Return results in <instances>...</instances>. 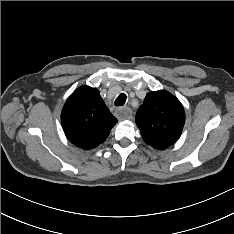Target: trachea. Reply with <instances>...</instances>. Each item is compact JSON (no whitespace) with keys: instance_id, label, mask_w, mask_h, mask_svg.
<instances>
[{"instance_id":"3493384b","label":"trachea","mask_w":234,"mask_h":234,"mask_svg":"<svg viewBox=\"0 0 234 234\" xmlns=\"http://www.w3.org/2000/svg\"><path fill=\"white\" fill-rule=\"evenodd\" d=\"M125 102H126V95L124 93H122L116 98L114 105L115 106H123L125 104Z\"/></svg>"}]
</instances>
